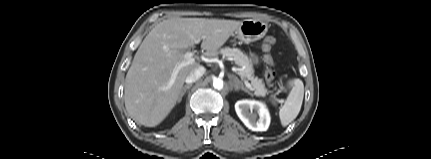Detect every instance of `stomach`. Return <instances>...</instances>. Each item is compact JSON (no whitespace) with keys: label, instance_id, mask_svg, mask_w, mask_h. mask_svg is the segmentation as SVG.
I'll return each mask as SVG.
<instances>
[{"label":"stomach","instance_id":"0dacf381","mask_svg":"<svg viewBox=\"0 0 431 159\" xmlns=\"http://www.w3.org/2000/svg\"><path fill=\"white\" fill-rule=\"evenodd\" d=\"M268 31V24L258 19H246L241 22L239 27L234 31L233 36L240 42L249 44L265 36ZM250 60L258 64L259 58L251 54Z\"/></svg>","mask_w":431,"mask_h":159}]
</instances>
